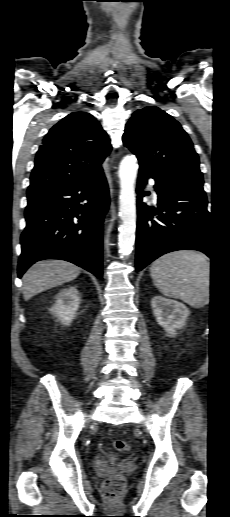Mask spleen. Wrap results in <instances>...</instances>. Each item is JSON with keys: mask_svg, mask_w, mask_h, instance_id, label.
<instances>
[{"mask_svg": "<svg viewBox=\"0 0 230 517\" xmlns=\"http://www.w3.org/2000/svg\"><path fill=\"white\" fill-rule=\"evenodd\" d=\"M154 285L165 296L180 299L199 308L209 302L210 264L194 251L163 255L150 267Z\"/></svg>", "mask_w": 230, "mask_h": 517, "instance_id": "spleen-1", "label": "spleen"}]
</instances>
